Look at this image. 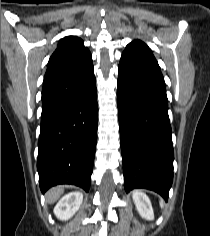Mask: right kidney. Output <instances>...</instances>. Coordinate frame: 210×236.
<instances>
[{"mask_svg":"<svg viewBox=\"0 0 210 236\" xmlns=\"http://www.w3.org/2000/svg\"><path fill=\"white\" fill-rule=\"evenodd\" d=\"M83 194L72 192L62 197L54 208V214L61 220L70 219L80 208Z\"/></svg>","mask_w":210,"mask_h":236,"instance_id":"1","label":"right kidney"}]
</instances>
